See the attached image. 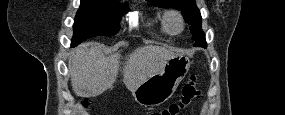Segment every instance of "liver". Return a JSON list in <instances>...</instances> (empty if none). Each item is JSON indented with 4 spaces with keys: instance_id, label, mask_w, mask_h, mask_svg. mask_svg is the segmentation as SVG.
<instances>
[{
    "instance_id": "1",
    "label": "liver",
    "mask_w": 285,
    "mask_h": 115,
    "mask_svg": "<svg viewBox=\"0 0 285 115\" xmlns=\"http://www.w3.org/2000/svg\"><path fill=\"white\" fill-rule=\"evenodd\" d=\"M177 55L165 47L149 45L137 48L121 63L120 54L105 57L98 43H83L71 52L69 58L71 85L77 96H97L112 86L121 71L123 83L133 92Z\"/></svg>"
}]
</instances>
